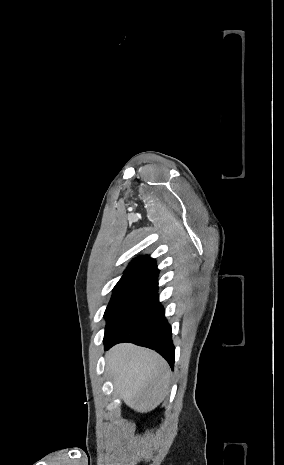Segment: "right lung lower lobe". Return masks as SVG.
Wrapping results in <instances>:
<instances>
[{
  "mask_svg": "<svg viewBox=\"0 0 284 465\" xmlns=\"http://www.w3.org/2000/svg\"><path fill=\"white\" fill-rule=\"evenodd\" d=\"M122 342H131L158 352L174 366L175 347L171 326L158 299V284L114 325L105 331V350Z\"/></svg>",
  "mask_w": 284,
  "mask_h": 465,
  "instance_id": "98d812e1",
  "label": "right lung lower lobe"
}]
</instances>
